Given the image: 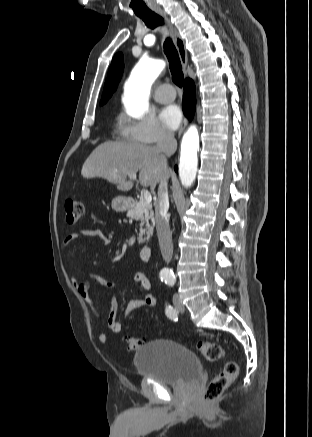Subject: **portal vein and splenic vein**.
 I'll return each instance as SVG.
<instances>
[{"label": "portal vein and splenic vein", "instance_id": "obj_1", "mask_svg": "<svg viewBox=\"0 0 312 437\" xmlns=\"http://www.w3.org/2000/svg\"><path fill=\"white\" fill-rule=\"evenodd\" d=\"M128 176L130 178H132V179H136L137 178L136 173H134V172L129 173ZM141 199L145 200L147 203H151L152 196H151V194L147 190H142L141 191Z\"/></svg>", "mask_w": 312, "mask_h": 437}]
</instances>
